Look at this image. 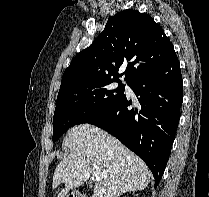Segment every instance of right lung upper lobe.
<instances>
[{
  "label": "right lung upper lobe",
  "mask_w": 209,
  "mask_h": 197,
  "mask_svg": "<svg viewBox=\"0 0 209 197\" xmlns=\"http://www.w3.org/2000/svg\"><path fill=\"white\" fill-rule=\"evenodd\" d=\"M174 47L152 17L137 10H124L111 17L103 32L79 52L65 70L60 89L73 84L119 80L128 84L159 67ZM127 65L122 74L119 68Z\"/></svg>",
  "instance_id": "right-lung-upper-lobe-1"
}]
</instances>
